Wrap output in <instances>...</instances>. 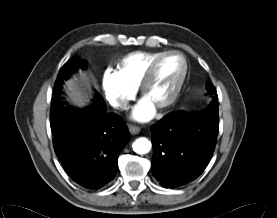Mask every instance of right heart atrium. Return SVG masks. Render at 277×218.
<instances>
[{
  "label": "right heart atrium",
  "mask_w": 277,
  "mask_h": 218,
  "mask_svg": "<svg viewBox=\"0 0 277 218\" xmlns=\"http://www.w3.org/2000/svg\"><path fill=\"white\" fill-rule=\"evenodd\" d=\"M102 89L106 100L116 109H125L135 96V88L129 86L118 71L107 68L102 75Z\"/></svg>",
  "instance_id": "obj_1"
}]
</instances>
